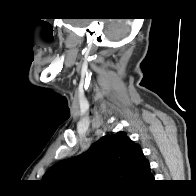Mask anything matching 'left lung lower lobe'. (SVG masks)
Wrapping results in <instances>:
<instances>
[{"label":"left lung lower lobe","mask_w":196,"mask_h":196,"mask_svg":"<svg viewBox=\"0 0 196 196\" xmlns=\"http://www.w3.org/2000/svg\"><path fill=\"white\" fill-rule=\"evenodd\" d=\"M154 180L152 173L150 172V164L148 161H145L140 167L134 182L146 183Z\"/></svg>","instance_id":"1"}]
</instances>
